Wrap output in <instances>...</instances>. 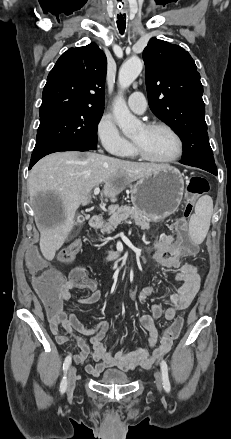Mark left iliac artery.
Wrapping results in <instances>:
<instances>
[{
	"instance_id": "left-iliac-artery-1",
	"label": "left iliac artery",
	"mask_w": 231,
	"mask_h": 439,
	"mask_svg": "<svg viewBox=\"0 0 231 439\" xmlns=\"http://www.w3.org/2000/svg\"><path fill=\"white\" fill-rule=\"evenodd\" d=\"M161 373H162L163 387L165 391L168 393L170 392L171 386L168 377V366L165 360L161 361Z\"/></svg>"
}]
</instances>
